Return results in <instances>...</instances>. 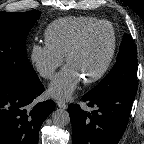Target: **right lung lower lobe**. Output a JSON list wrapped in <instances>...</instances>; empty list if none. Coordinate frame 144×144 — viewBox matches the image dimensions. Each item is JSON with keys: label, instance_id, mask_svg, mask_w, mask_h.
<instances>
[{"label": "right lung lower lobe", "instance_id": "1", "mask_svg": "<svg viewBox=\"0 0 144 144\" xmlns=\"http://www.w3.org/2000/svg\"><path fill=\"white\" fill-rule=\"evenodd\" d=\"M43 91L40 80L32 86L0 83V144H38L40 127L55 109L51 100L35 103Z\"/></svg>", "mask_w": 144, "mask_h": 144}]
</instances>
